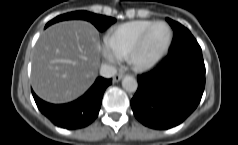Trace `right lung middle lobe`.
I'll use <instances>...</instances> for the list:
<instances>
[{"label":"right lung middle lobe","mask_w":238,"mask_h":145,"mask_svg":"<svg viewBox=\"0 0 238 145\" xmlns=\"http://www.w3.org/2000/svg\"><path fill=\"white\" fill-rule=\"evenodd\" d=\"M71 19H81V20L89 21L99 31H104L105 29H107L111 24H113L116 21V19H114L112 17L98 15V14L90 13L88 11H75V12H70V13H66V14L57 16L56 18L49 21L46 24L45 28L53 23L63 21V20H71Z\"/></svg>","instance_id":"1"}]
</instances>
